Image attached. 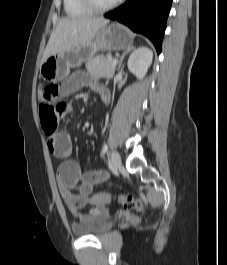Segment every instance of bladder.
<instances>
[{
    "mask_svg": "<svg viewBox=\"0 0 227 265\" xmlns=\"http://www.w3.org/2000/svg\"><path fill=\"white\" fill-rule=\"evenodd\" d=\"M112 226V218L103 216L92 221L76 224L72 227V231L77 236L99 237L109 231Z\"/></svg>",
    "mask_w": 227,
    "mask_h": 265,
    "instance_id": "bladder-1",
    "label": "bladder"
}]
</instances>
